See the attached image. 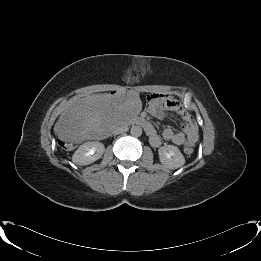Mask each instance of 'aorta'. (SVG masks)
<instances>
[{
  "label": "aorta",
  "instance_id": "1",
  "mask_svg": "<svg viewBox=\"0 0 261 261\" xmlns=\"http://www.w3.org/2000/svg\"><path fill=\"white\" fill-rule=\"evenodd\" d=\"M130 133L134 137H140L142 135V128L140 126H132L130 129Z\"/></svg>",
  "mask_w": 261,
  "mask_h": 261
}]
</instances>
